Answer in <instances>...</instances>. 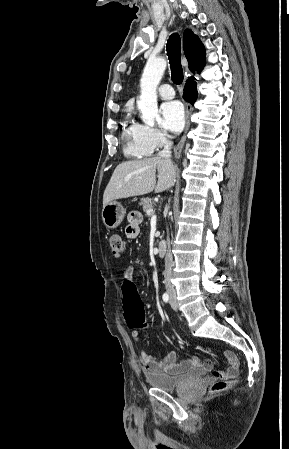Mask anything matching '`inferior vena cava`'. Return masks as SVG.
Here are the masks:
<instances>
[{
	"instance_id": "602c4592",
	"label": "inferior vena cava",
	"mask_w": 289,
	"mask_h": 449,
	"mask_svg": "<svg viewBox=\"0 0 289 449\" xmlns=\"http://www.w3.org/2000/svg\"><path fill=\"white\" fill-rule=\"evenodd\" d=\"M171 146H172V142L169 140H166L164 143V148L161 152H159L158 156L160 158H164L167 160H170L171 158ZM169 241V240H168ZM172 267H173V257H172V253L171 250L168 249L167 250V254H166V258H165V271H164V283H165V287L167 292H175V288L173 286V284L171 283V276H172Z\"/></svg>"
}]
</instances>
